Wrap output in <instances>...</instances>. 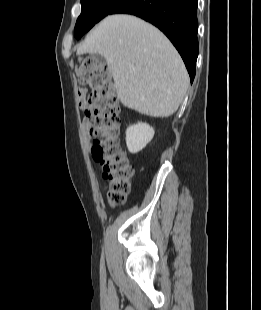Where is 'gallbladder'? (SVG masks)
<instances>
[{
    "label": "gallbladder",
    "mask_w": 261,
    "mask_h": 310,
    "mask_svg": "<svg viewBox=\"0 0 261 310\" xmlns=\"http://www.w3.org/2000/svg\"><path fill=\"white\" fill-rule=\"evenodd\" d=\"M90 58L93 59L100 66H104L106 64V59L100 54H91Z\"/></svg>",
    "instance_id": "gallbladder-1"
}]
</instances>
